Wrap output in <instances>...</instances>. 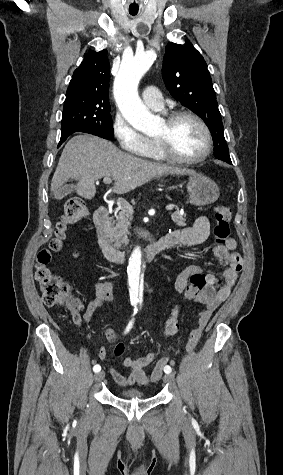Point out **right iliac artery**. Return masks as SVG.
Listing matches in <instances>:
<instances>
[{
  "instance_id": "obj_1",
  "label": "right iliac artery",
  "mask_w": 283,
  "mask_h": 475,
  "mask_svg": "<svg viewBox=\"0 0 283 475\" xmlns=\"http://www.w3.org/2000/svg\"><path fill=\"white\" fill-rule=\"evenodd\" d=\"M134 314H135V313H134ZM132 323H133V322L131 321V322L128 324V326H127V328H126V332H128L129 329L132 328ZM100 370H101V366H100V365H95V366L93 367V371H94V372H99Z\"/></svg>"
}]
</instances>
